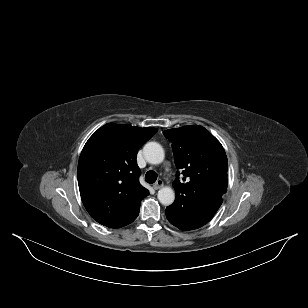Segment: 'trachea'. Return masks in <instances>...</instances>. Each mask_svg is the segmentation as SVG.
<instances>
[{
	"mask_svg": "<svg viewBox=\"0 0 308 308\" xmlns=\"http://www.w3.org/2000/svg\"><path fill=\"white\" fill-rule=\"evenodd\" d=\"M156 180H157V173L156 172L150 170L146 173V175H145V181L146 182L153 184V183L156 182Z\"/></svg>",
	"mask_w": 308,
	"mask_h": 308,
	"instance_id": "obj_1",
	"label": "trachea"
}]
</instances>
